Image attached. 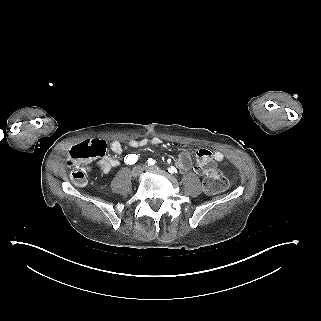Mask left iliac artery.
<instances>
[{"label":"left iliac artery","instance_id":"44dca946","mask_svg":"<svg viewBox=\"0 0 321 321\" xmlns=\"http://www.w3.org/2000/svg\"><path fill=\"white\" fill-rule=\"evenodd\" d=\"M147 164H148V166H154L155 165V160H153L152 158H149ZM168 171L170 173H176L177 172L176 168H174L173 166L171 168H169Z\"/></svg>","mask_w":321,"mask_h":321}]
</instances>
